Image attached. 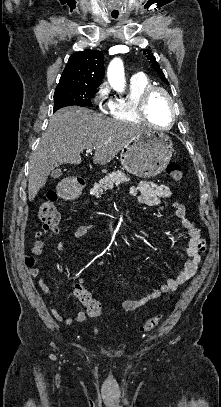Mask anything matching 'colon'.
Segmentation results:
<instances>
[{"instance_id":"1","label":"colon","mask_w":221,"mask_h":407,"mask_svg":"<svg viewBox=\"0 0 221 407\" xmlns=\"http://www.w3.org/2000/svg\"><path fill=\"white\" fill-rule=\"evenodd\" d=\"M166 172L173 181L178 182L183 178L182 167L177 162H169L166 167ZM56 198L57 196L54 192H47L46 199L39 209L38 215L42 228L38 233L45 238L59 231L60 213L55 204ZM75 291L80 302L86 307L87 313L90 316L96 317L101 315L102 307L100 303L93 299L88 290H86L79 282L75 283ZM160 319L161 315L148 319L143 325H141L140 331L147 333L153 330L158 325Z\"/></svg>"}]
</instances>
